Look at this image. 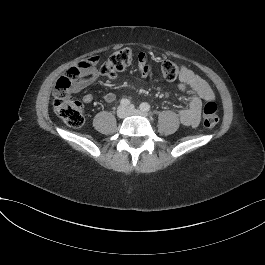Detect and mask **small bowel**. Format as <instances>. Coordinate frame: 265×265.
I'll use <instances>...</instances> for the list:
<instances>
[{
  "label": "small bowel",
  "mask_w": 265,
  "mask_h": 265,
  "mask_svg": "<svg viewBox=\"0 0 265 265\" xmlns=\"http://www.w3.org/2000/svg\"><path fill=\"white\" fill-rule=\"evenodd\" d=\"M138 73L142 78L150 79L152 71L149 67L146 58L140 55L138 60ZM83 78L75 82L71 88V93H77L84 88L89 87L99 76V71L91 68L83 73ZM179 89L188 97V106L182 109L179 113L181 123L188 127H196L201 120L202 102L214 99V94L209 84L200 76L195 74L187 67H182L179 75ZM116 99L113 92H108L104 95V100L107 103H112ZM82 100L84 103H91L93 95L86 93Z\"/></svg>",
  "instance_id": "1"
}]
</instances>
